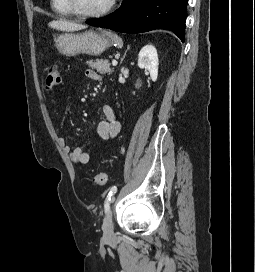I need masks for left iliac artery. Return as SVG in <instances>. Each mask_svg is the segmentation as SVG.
<instances>
[{
	"label": "left iliac artery",
	"instance_id": "44dca946",
	"mask_svg": "<svg viewBox=\"0 0 255 272\" xmlns=\"http://www.w3.org/2000/svg\"><path fill=\"white\" fill-rule=\"evenodd\" d=\"M117 192V187L116 186H113L110 188V191L108 193V196L105 200V204H104V209H105V212H108L109 211V204L111 202V197Z\"/></svg>",
	"mask_w": 255,
	"mask_h": 272
}]
</instances>
